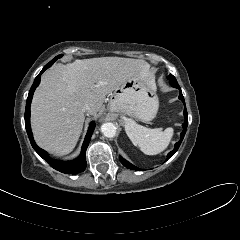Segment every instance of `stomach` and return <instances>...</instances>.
Segmentation results:
<instances>
[{
  "label": "stomach",
  "instance_id": "1",
  "mask_svg": "<svg viewBox=\"0 0 240 240\" xmlns=\"http://www.w3.org/2000/svg\"><path fill=\"white\" fill-rule=\"evenodd\" d=\"M159 100L155 83L134 76L114 90L110 110L131 116L139 121H151L157 114Z\"/></svg>",
  "mask_w": 240,
  "mask_h": 240
}]
</instances>
